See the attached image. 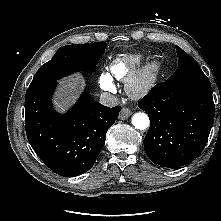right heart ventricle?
<instances>
[{
    "label": "right heart ventricle",
    "mask_w": 221,
    "mask_h": 221,
    "mask_svg": "<svg viewBox=\"0 0 221 221\" xmlns=\"http://www.w3.org/2000/svg\"><path fill=\"white\" fill-rule=\"evenodd\" d=\"M139 61V57L117 58L110 64V73L119 80L126 79L132 73Z\"/></svg>",
    "instance_id": "obj_1"
}]
</instances>
